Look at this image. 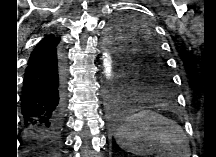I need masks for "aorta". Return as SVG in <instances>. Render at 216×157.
I'll return each instance as SVG.
<instances>
[{
  "label": "aorta",
  "mask_w": 216,
  "mask_h": 157,
  "mask_svg": "<svg viewBox=\"0 0 216 157\" xmlns=\"http://www.w3.org/2000/svg\"><path fill=\"white\" fill-rule=\"evenodd\" d=\"M103 69L104 74L107 79H111L112 77V58L110 56L109 51L105 50L103 52Z\"/></svg>",
  "instance_id": "1"
}]
</instances>
